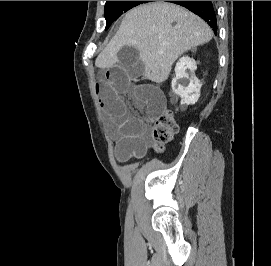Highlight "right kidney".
<instances>
[{
    "instance_id": "obj_1",
    "label": "right kidney",
    "mask_w": 271,
    "mask_h": 266,
    "mask_svg": "<svg viewBox=\"0 0 271 266\" xmlns=\"http://www.w3.org/2000/svg\"><path fill=\"white\" fill-rule=\"evenodd\" d=\"M196 68L195 60L188 56L181 57L176 64V77L172 79L171 86L173 92L181 97V104L193 105L200 97L202 85L194 74Z\"/></svg>"
}]
</instances>
